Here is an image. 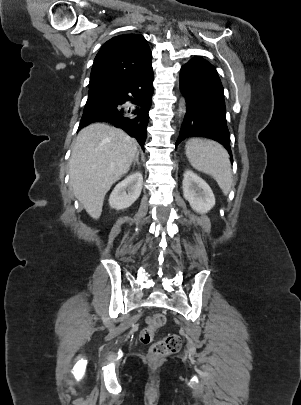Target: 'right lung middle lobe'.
Here are the masks:
<instances>
[{
  "instance_id": "1",
  "label": "right lung middle lobe",
  "mask_w": 301,
  "mask_h": 405,
  "mask_svg": "<svg viewBox=\"0 0 301 405\" xmlns=\"http://www.w3.org/2000/svg\"><path fill=\"white\" fill-rule=\"evenodd\" d=\"M116 92L113 91H89L88 92V100L85 105V109L92 108L94 106H97L101 103H104L108 100H110Z\"/></svg>"
}]
</instances>
